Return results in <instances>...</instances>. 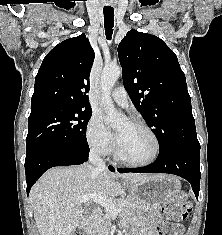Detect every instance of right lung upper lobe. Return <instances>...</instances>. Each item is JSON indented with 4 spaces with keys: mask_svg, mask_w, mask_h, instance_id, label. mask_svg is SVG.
Returning <instances> with one entry per match:
<instances>
[{
    "mask_svg": "<svg viewBox=\"0 0 222 235\" xmlns=\"http://www.w3.org/2000/svg\"><path fill=\"white\" fill-rule=\"evenodd\" d=\"M94 56L85 34L56 45L43 59L35 77L31 114L55 105L90 108L86 93Z\"/></svg>",
    "mask_w": 222,
    "mask_h": 235,
    "instance_id": "cb5924a9",
    "label": "right lung upper lobe"
}]
</instances>
